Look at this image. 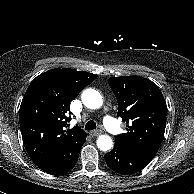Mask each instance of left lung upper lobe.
Listing matches in <instances>:
<instances>
[{
    "label": "left lung upper lobe",
    "instance_id": "obj_1",
    "mask_svg": "<svg viewBox=\"0 0 194 194\" xmlns=\"http://www.w3.org/2000/svg\"><path fill=\"white\" fill-rule=\"evenodd\" d=\"M108 82L118 102L117 115L127 124L115 144L152 160L166 126L167 105L160 89L141 76L110 77Z\"/></svg>",
    "mask_w": 194,
    "mask_h": 194
}]
</instances>
